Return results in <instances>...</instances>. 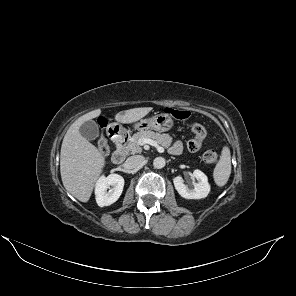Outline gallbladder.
Instances as JSON below:
<instances>
[{
	"label": "gallbladder",
	"instance_id": "obj_1",
	"mask_svg": "<svg viewBox=\"0 0 296 296\" xmlns=\"http://www.w3.org/2000/svg\"><path fill=\"white\" fill-rule=\"evenodd\" d=\"M81 135L88 139L94 140L99 136L98 124L93 120L85 121L79 128Z\"/></svg>",
	"mask_w": 296,
	"mask_h": 296
}]
</instances>
